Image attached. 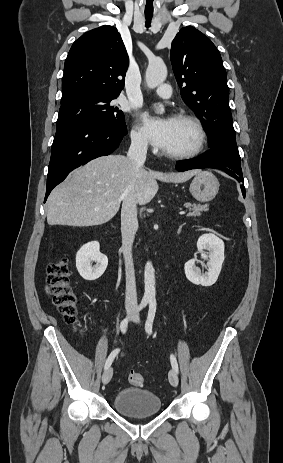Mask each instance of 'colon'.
<instances>
[{
	"instance_id": "5ec220e1",
	"label": "colon",
	"mask_w": 283,
	"mask_h": 463,
	"mask_svg": "<svg viewBox=\"0 0 283 463\" xmlns=\"http://www.w3.org/2000/svg\"><path fill=\"white\" fill-rule=\"evenodd\" d=\"M47 284L53 303L58 308L63 319L69 324L76 323L78 298L71 285L67 259L60 258L48 265ZM128 381L132 385L141 386L145 380L142 374L130 372Z\"/></svg>"
}]
</instances>
